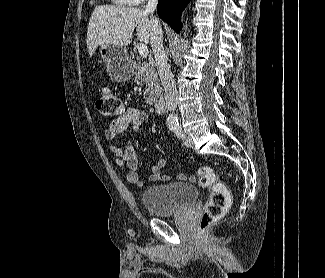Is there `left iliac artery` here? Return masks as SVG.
<instances>
[{"label":"left iliac artery","mask_w":325,"mask_h":278,"mask_svg":"<svg viewBox=\"0 0 325 278\" xmlns=\"http://www.w3.org/2000/svg\"><path fill=\"white\" fill-rule=\"evenodd\" d=\"M171 130L174 132V134L179 138V139H183L184 138V134L181 130V127L179 126V124L174 125Z\"/></svg>","instance_id":"1"}]
</instances>
